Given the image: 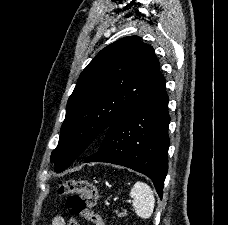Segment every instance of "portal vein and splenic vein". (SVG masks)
<instances>
[{
    "instance_id": "18ae733b",
    "label": "portal vein and splenic vein",
    "mask_w": 228,
    "mask_h": 225,
    "mask_svg": "<svg viewBox=\"0 0 228 225\" xmlns=\"http://www.w3.org/2000/svg\"><path fill=\"white\" fill-rule=\"evenodd\" d=\"M116 202H121V197H115V199L111 201V204L112 205H115ZM111 204H110V202H105L104 205H105V207H110ZM126 204L127 205H131L132 204V201L131 200H127L126 201Z\"/></svg>"
}]
</instances>
